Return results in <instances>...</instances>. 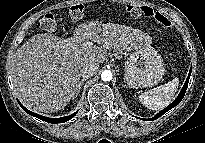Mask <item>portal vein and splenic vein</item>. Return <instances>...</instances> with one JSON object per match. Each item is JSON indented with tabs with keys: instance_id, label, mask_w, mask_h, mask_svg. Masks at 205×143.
Segmentation results:
<instances>
[{
	"instance_id": "obj_1",
	"label": "portal vein and splenic vein",
	"mask_w": 205,
	"mask_h": 143,
	"mask_svg": "<svg viewBox=\"0 0 205 143\" xmlns=\"http://www.w3.org/2000/svg\"><path fill=\"white\" fill-rule=\"evenodd\" d=\"M85 44H86L87 46H91V45H93V43L90 42V41L86 42Z\"/></svg>"
}]
</instances>
